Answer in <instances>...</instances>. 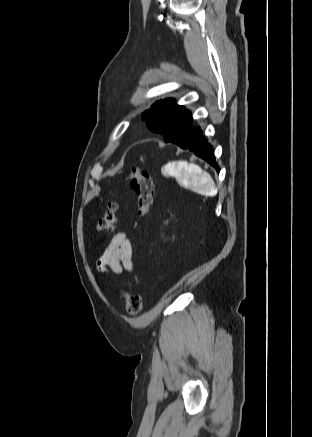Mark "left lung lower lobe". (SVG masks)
Returning <instances> with one entry per match:
<instances>
[{
	"mask_svg": "<svg viewBox=\"0 0 312 437\" xmlns=\"http://www.w3.org/2000/svg\"><path fill=\"white\" fill-rule=\"evenodd\" d=\"M173 143L182 149L192 151L196 156L204 159L211 166H213L217 172L220 171V168L215 161L213 150L205 137L202 135V130L200 127H192V129L185 136Z\"/></svg>",
	"mask_w": 312,
	"mask_h": 437,
	"instance_id": "0a47b994",
	"label": "left lung lower lobe"
}]
</instances>
